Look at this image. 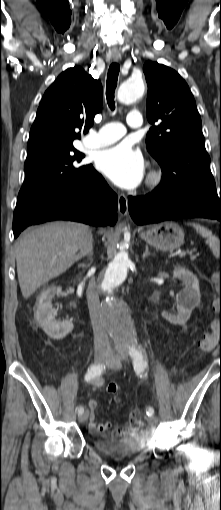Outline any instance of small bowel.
Here are the masks:
<instances>
[{
    "instance_id": "small-bowel-1",
    "label": "small bowel",
    "mask_w": 221,
    "mask_h": 510,
    "mask_svg": "<svg viewBox=\"0 0 221 510\" xmlns=\"http://www.w3.org/2000/svg\"><path fill=\"white\" fill-rule=\"evenodd\" d=\"M88 408L90 412L89 416V430L92 433L98 434L100 436H112V437H127L132 436L136 433L138 425H139V417L134 414L136 409L132 406L128 407V418L126 425L122 428L111 429V424L109 422L105 423H97L95 419V411L98 408V403L95 400L88 401Z\"/></svg>"
}]
</instances>
